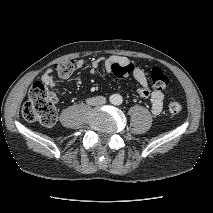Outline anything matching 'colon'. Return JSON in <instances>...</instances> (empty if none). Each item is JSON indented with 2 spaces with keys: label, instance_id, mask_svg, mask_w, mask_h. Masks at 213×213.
I'll return each mask as SVG.
<instances>
[{
  "label": "colon",
  "instance_id": "colon-1",
  "mask_svg": "<svg viewBox=\"0 0 213 213\" xmlns=\"http://www.w3.org/2000/svg\"><path fill=\"white\" fill-rule=\"evenodd\" d=\"M57 73L61 77L69 76L75 69V64L72 60L62 61L55 65ZM133 71L131 62L116 63L112 67V73L123 78L130 75ZM150 78L154 89L162 91L169 85L168 76L157 67L150 71ZM56 95L49 90L45 84L36 81L31 86L28 99L22 107V116L29 122H38L43 126H53L57 121ZM168 109L172 114H178L182 110L181 102L171 97L169 100Z\"/></svg>",
  "mask_w": 213,
  "mask_h": 213
}]
</instances>
